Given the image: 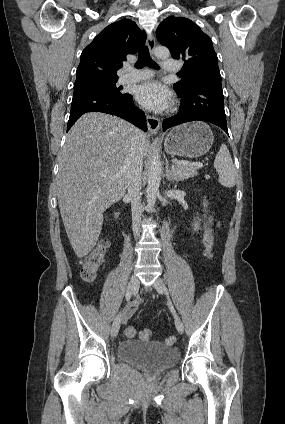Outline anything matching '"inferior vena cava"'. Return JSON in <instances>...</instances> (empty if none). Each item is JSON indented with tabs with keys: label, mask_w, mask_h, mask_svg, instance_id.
Wrapping results in <instances>:
<instances>
[{
	"label": "inferior vena cava",
	"mask_w": 285,
	"mask_h": 424,
	"mask_svg": "<svg viewBox=\"0 0 285 424\" xmlns=\"http://www.w3.org/2000/svg\"><path fill=\"white\" fill-rule=\"evenodd\" d=\"M142 132L135 129L130 141L129 154L126 160L127 166V188L131 200L132 228L134 237L140 235V222L143 207L141 204V177L143 170V152L140 144Z\"/></svg>",
	"instance_id": "602c4592"
}]
</instances>
